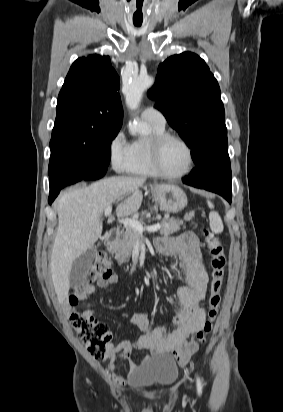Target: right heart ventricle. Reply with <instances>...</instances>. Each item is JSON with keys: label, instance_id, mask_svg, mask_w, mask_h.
Here are the masks:
<instances>
[{"label": "right heart ventricle", "instance_id": "e07e8e85", "mask_svg": "<svg viewBox=\"0 0 283 412\" xmlns=\"http://www.w3.org/2000/svg\"><path fill=\"white\" fill-rule=\"evenodd\" d=\"M148 133L129 143V154L124 171L142 176L157 175L151 159V145L155 137L165 133V126L147 122Z\"/></svg>", "mask_w": 283, "mask_h": 412}]
</instances>
